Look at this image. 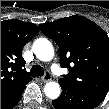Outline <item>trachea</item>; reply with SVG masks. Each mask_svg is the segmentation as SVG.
<instances>
[{"instance_id":"obj_1","label":"trachea","mask_w":109,"mask_h":109,"mask_svg":"<svg viewBox=\"0 0 109 109\" xmlns=\"http://www.w3.org/2000/svg\"><path fill=\"white\" fill-rule=\"evenodd\" d=\"M30 74L32 77H41L44 75V69L40 65H33Z\"/></svg>"}]
</instances>
